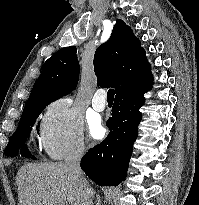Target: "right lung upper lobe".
<instances>
[{
	"mask_svg": "<svg viewBox=\"0 0 199 205\" xmlns=\"http://www.w3.org/2000/svg\"><path fill=\"white\" fill-rule=\"evenodd\" d=\"M76 52L75 46L62 48L44 63L27 103L41 99L55 101L75 89L79 79ZM93 64L97 84L111 86L116 93L134 79L151 72L140 41L120 19L116 21L109 40L97 48Z\"/></svg>",
	"mask_w": 199,
	"mask_h": 205,
	"instance_id": "cb5924a9",
	"label": "right lung upper lobe"
}]
</instances>
